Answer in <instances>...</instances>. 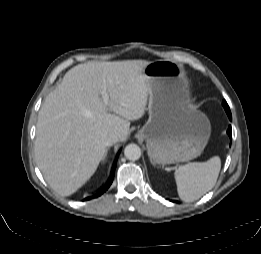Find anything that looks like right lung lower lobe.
Wrapping results in <instances>:
<instances>
[{"label": "right lung lower lobe", "mask_w": 261, "mask_h": 254, "mask_svg": "<svg viewBox=\"0 0 261 254\" xmlns=\"http://www.w3.org/2000/svg\"><path fill=\"white\" fill-rule=\"evenodd\" d=\"M116 165H117V159H116V161H115V163H114V165L112 167L111 175H110V178H109L108 182L103 187V189L99 193H97L94 197H98V196L102 195L110 187V185L112 184L113 178H114ZM89 199H90V197L85 198V200H89Z\"/></svg>", "instance_id": "right-lung-lower-lobe-1"}]
</instances>
